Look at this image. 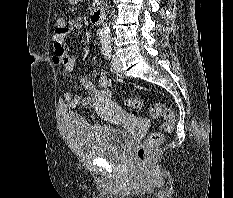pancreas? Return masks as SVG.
<instances>
[{"label": "pancreas", "mask_w": 233, "mask_h": 198, "mask_svg": "<svg viewBox=\"0 0 233 198\" xmlns=\"http://www.w3.org/2000/svg\"><path fill=\"white\" fill-rule=\"evenodd\" d=\"M93 1H94V3H93L94 5L99 4L100 2H102V0H93Z\"/></svg>", "instance_id": "obj_1"}]
</instances>
